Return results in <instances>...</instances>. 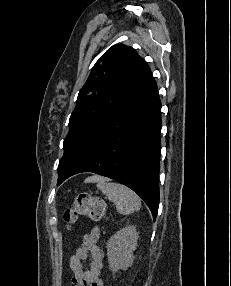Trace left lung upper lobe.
<instances>
[{
  "mask_svg": "<svg viewBox=\"0 0 231 286\" xmlns=\"http://www.w3.org/2000/svg\"><path fill=\"white\" fill-rule=\"evenodd\" d=\"M151 75L148 65L131 47L113 45L101 56L80 90L70 116L64 155L58 166V179L93 127Z\"/></svg>",
  "mask_w": 231,
  "mask_h": 286,
  "instance_id": "5c2ea615",
  "label": "left lung upper lobe"
}]
</instances>
